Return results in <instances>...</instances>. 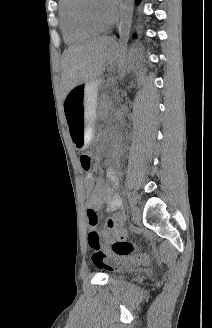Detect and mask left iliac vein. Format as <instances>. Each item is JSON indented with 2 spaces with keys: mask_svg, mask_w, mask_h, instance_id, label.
Segmentation results:
<instances>
[{
  "mask_svg": "<svg viewBox=\"0 0 212 328\" xmlns=\"http://www.w3.org/2000/svg\"><path fill=\"white\" fill-rule=\"evenodd\" d=\"M131 217L134 223H138L142 218L141 210L136 203L132 204Z\"/></svg>",
  "mask_w": 212,
  "mask_h": 328,
  "instance_id": "left-iliac-vein-1",
  "label": "left iliac vein"
}]
</instances>
